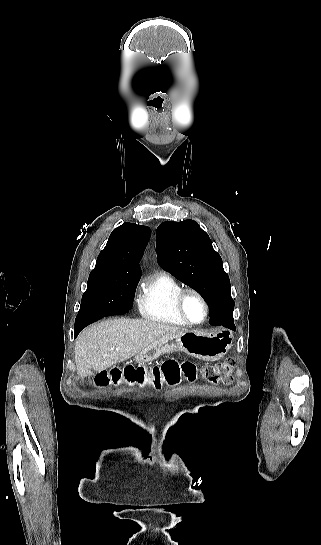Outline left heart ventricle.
<instances>
[{
    "mask_svg": "<svg viewBox=\"0 0 321 545\" xmlns=\"http://www.w3.org/2000/svg\"><path fill=\"white\" fill-rule=\"evenodd\" d=\"M186 315L194 322H199L204 316V307L200 299L194 294H187L184 303Z\"/></svg>",
    "mask_w": 321,
    "mask_h": 545,
    "instance_id": "obj_1",
    "label": "left heart ventricle"
}]
</instances>
